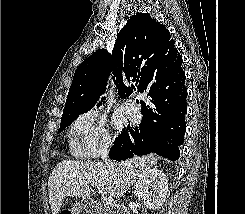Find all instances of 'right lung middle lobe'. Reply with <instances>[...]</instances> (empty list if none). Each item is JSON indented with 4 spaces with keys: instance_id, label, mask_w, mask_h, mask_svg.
Wrapping results in <instances>:
<instances>
[{
    "instance_id": "dd1d6c3e",
    "label": "right lung middle lobe",
    "mask_w": 245,
    "mask_h": 214,
    "mask_svg": "<svg viewBox=\"0 0 245 214\" xmlns=\"http://www.w3.org/2000/svg\"><path fill=\"white\" fill-rule=\"evenodd\" d=\"M87 112V111H81V112H76V113H70V114H63L61 123H60V128L58 132H61L63 129H65L67 126H69L80 114ZM119 137L116 138L115 143L117 142Z\"/></svg>"
}]
</instances>
